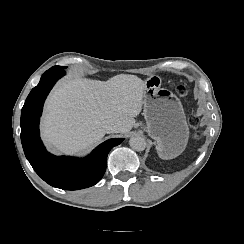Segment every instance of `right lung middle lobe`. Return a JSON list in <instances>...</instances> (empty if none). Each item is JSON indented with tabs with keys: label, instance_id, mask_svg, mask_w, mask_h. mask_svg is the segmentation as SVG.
<instances>
[{
	"label": "right lung middle lobe",
	"instance_id": "1",
	"mask_svg": "<svg viewBox=\"0 0 244 244\" xmlns=\"http://www.w3.org/2000/svg\"><path fill=\"white\" fill-rule=\"evenodd\" d=\"M58 68L65 69L66 67H61V66H59Z\"/></svg>",
	"mask_w": 244,
	"mask_h": 244
}]
</instances>
